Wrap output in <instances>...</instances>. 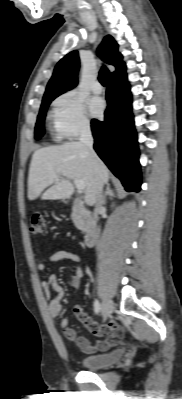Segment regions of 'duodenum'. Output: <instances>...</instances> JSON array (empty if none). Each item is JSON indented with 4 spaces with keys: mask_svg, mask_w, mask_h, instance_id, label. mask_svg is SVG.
I'll use <instances>...</instances> for the list:
<instances>
[{
    "mask_svg": "<svg viewBox=\"0 0 182 399\" xmlns=\"http://www.w3.org/2000/svg\"><path fill=\"white\" fill-rule=\"evenodd\" d=\"M74 206L78 211L82 222L84 223V228H85L84 245L86 247H92L95 245L98 238L97 223L93 220L91 215L82 207L81 201L74 202Z\"/></svg>",
    "mask_w": 182,
    "mask_h": 399,
    "instance_id": "410a0bca",
    "label": "duodenum"
}]
</instances>
